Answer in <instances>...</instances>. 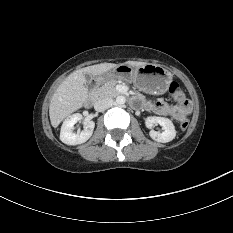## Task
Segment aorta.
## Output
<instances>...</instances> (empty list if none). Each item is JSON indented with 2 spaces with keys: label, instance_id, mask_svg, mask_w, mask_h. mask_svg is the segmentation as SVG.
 <instances>
[{
  "label": "aorta",
  "instance_id": "aorta-1",
  "mask_svg": "<svg viewBox=\"0 0 233 233\" xmlns=\"http://www.w3.org/2000/svg\"><path fill=\"white\" fill-rule=\"evenodd\" d=\"M126 102V99L124 96L120 95V96H117L116 98V103L118 105H123L124 103Z\"/></svg>",
  "mask_w": 233,
  "mask_h": 233
}]
</instances>
